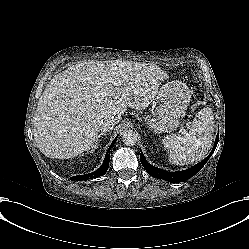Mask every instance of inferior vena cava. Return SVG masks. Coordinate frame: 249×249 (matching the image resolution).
Wrapping results in <instances>:
<instances>
[{
    "label": "inferior vena cava",
    "mask_w": 249,
    "mask_h": 249,
    "mask_svg": "<svg viewBox=\"0 0 249 249\" xmlns=\"http://www.w3.org/2000/svg\"><path fill=\"white\" fill-rule=\"evenodd\" d=\"M116 123H118V121L115 118L105 119L101 123V130L107 132V131L113 129V127Z\"/></svg>",
    "instance_id": "inferior-vena-cava-1"
}]
</instances>
